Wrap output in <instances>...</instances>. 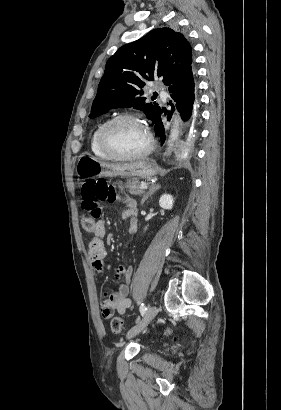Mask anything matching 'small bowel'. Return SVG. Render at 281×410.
<instances>
[{"label": "small bowel", "mask_w": 281, "mask_h": 410, "mask_svg": "<svg viewBox=\"0 0 281 410\" xmlns=\"http://www.w3.org/2000/svg\"><path fill=\"white\" fill-rule=\"evenodd\" d=\"M119 201L122 202L126 209L123 212V217L129 221V233L134 234L137 230V205L134 199L127 195L119 194ZM107 229L105 222L99 220L94 229V237L89 243L88 257L93 268L102 274L104 271L103 259L107 255V250L103 241L106 236ZM116 277H122L123 282L118 284V289L110 294L104 293L101 300V312L105 318L111 317L113 314H124L132 308V303L129 299L131 291V282L133 278V268L131 264L117 267L115 271Z\"/></svg>", "instance_id": "obj_1"}]
</instances>
